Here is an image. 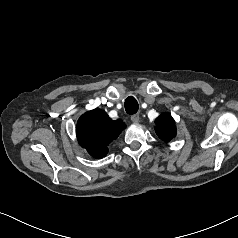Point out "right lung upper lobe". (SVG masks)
<instances>
[{
	"mask_svg": "<svg viewBox=\"0 0 238 238\" xmlns=\"http://www.w3.org/2000/svg\"><path fill=\"white\" fill-rule=\"evenodd\" d=\"M125 127L122 120H112L103 110L94 109L79 118L76 134L81 147L92 157L102 158Z\"/></svg>",
	"mask_w": 238,
	"mask_h": 238,
	"instance_id": "1",
	"label": "right lung upper lobe"
}]
</instances>
